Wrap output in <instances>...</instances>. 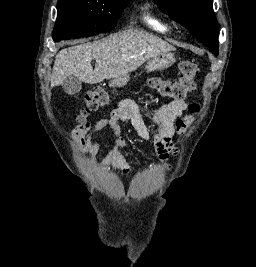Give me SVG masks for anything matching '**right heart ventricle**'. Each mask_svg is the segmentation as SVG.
<instances>
[{"instance_id":"e07e8e85","label":"right heart ventricle","mask_w":256,"mask_h":267,"mask_svg":"<svg viewBox=\"0 0 256 267\" xmlns=\"http://www.w3.org/2000/svg\"><path fill=\"white\" fill-rule=\"evenodd\" d=\"M151 27L160 34H167L173 31V25L171 23L160 24L156 22H149Z\"/></svg>"}]
</instances>
